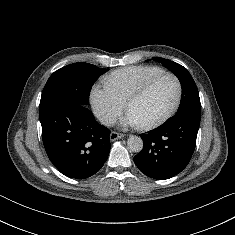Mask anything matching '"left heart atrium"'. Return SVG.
Returning a JSON list of instances; mask_svg holds the SVG:
<instances>
[{"label": "left heart atrium", "mask_w": 235, "mask_h": 235, "mask_svg": "<svg viewBox=\"0 0 235 235\" xmlns=\"http://www.w3.org/2000/svg\"><path fill=\"white\" fill-rule=\"evenodd\" d=\"M120 125L124 128H128V127H138L140 126V123L134 117V115L128 111L127 114L121 118Z\"/></svg>", "instance_id": "39dd6f15"}]
</instances>
